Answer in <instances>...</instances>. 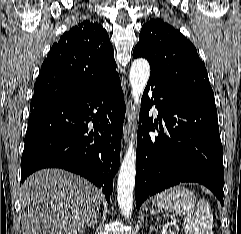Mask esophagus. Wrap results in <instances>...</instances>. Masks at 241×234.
<instances>
[{
    "label": "esophagus",
    "mask_w": 241,
    "mask_h": 234,
    "mask_svg": "<svg viewBox=\"0 0 241 234\" xmlns=\"http://www.w3.org/2000/svg\"><path fill=\"white\" fill-rule=\"evenodd\" d=\"M132 109H133L132 102L129 101L128 106H127L126 118H125V121H124V127H123V133H124V140L125 141H127L128 133H129L130 126H131Z\"/></svg>",
    "instance_id": "34e87169"
}]
</instances>
